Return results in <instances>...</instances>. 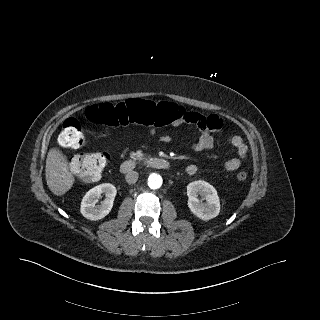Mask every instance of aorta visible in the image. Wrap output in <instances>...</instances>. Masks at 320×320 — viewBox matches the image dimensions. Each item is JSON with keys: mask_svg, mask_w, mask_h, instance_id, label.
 I'll return each instance as SVG.
<instances>
[{"mask_svg": "<svg viewBox=\"0 0 320 320\" xmlns=\"http://www.w3.org/2000/svg\"><path fill=\"white\" fill-rule=\"evenodd\" d=\"M163 180L159 174L152 173L148 178V186L151 189H159L162 186Z\"/></svg>", "mask_w": 320, "mask_h": 320, "instance_id": "1", "label": "aorta"}]
</instances>
